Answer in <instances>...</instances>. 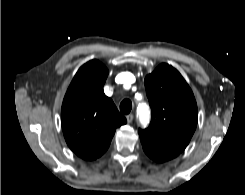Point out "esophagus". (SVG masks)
Instances as JSON below:
<instances>
[{
	"label": "esophagus",
	"mask_w": 245,
	"mask_h": 195,
	"mask_svg": "<svg viewBox=\"0 0 245 195\" xmlns=\"http://www.w3.org/2000/svg\"><path fill=\"white\" fill-rule=\"evenodd\" d=\"M133 118H134L133 114H128V115L126 116V119H127V122H128V123H131V122L133 121Z\"/></svg>",
	"instance_id": "34e87169"
}]
</instances>
